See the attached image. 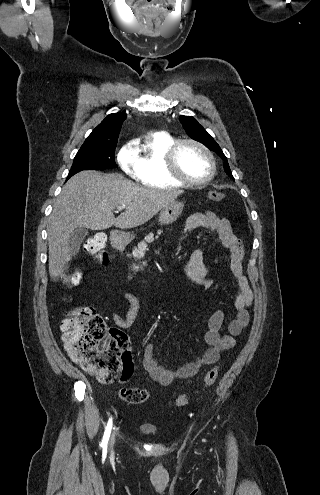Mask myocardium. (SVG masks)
<instances>
[{"instance_id": "f54148a6", "label": "myocardium", "mask_w": 320, "mask_h": 495, "mask_svg": "<svg viewBox=\"0 0 320 495\" xmlns=\"http://www.w3.org/2000/svg\"><path fill=\"white\" fill-rule=\"evenodd\" d=\"M185 145H193L201 150L207 157L210 163L209 174L202 179H189L183 175L178 165V155L181 148ZM165 166L168 174L175 180L181 182L186 186H199L210 182L216 174V161L212 152L201 142L194 139H182L176 141L165 154Z\"/></svg>"}]
</instances>
